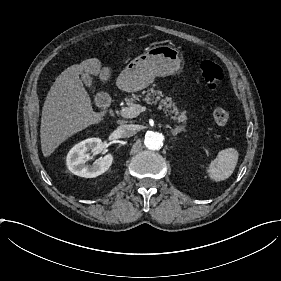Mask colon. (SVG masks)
<instances>
[{
  "label": "colon",
  "mask_w": 281,
  "mask_h": 281,
  "mask_svg": "<svg viewBox=\"0 0 281 281\" xmlns=\"http://www.w3.org/2000/svg\"><path fill=\"white\" fill-rule=\"evenodd\" d=\"M200 70L202 77L208 88L216 90L220 89L225 84V74L223 70L217 66L213 61L203 59L200 62ZM229 113L225 109H217L214 112L215 123L224 127L229 123Z\"/></svg>",
  "instance_id": "obj_1"
}]
</instances>
